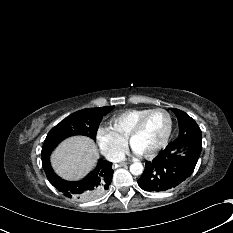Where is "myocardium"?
Masks as SVG:
<instances>
[{
	"label": "myocardium",
	"mask_w": 233,
	"mask_h": 233,
	"mask_svg": "<svg viewBox=\"0 0 233 233\" xmlns=\"http://www.w3.org/2000/svg\"><path fill=\"white\" fill-rule=\"evenodd\" d=\"M156 112H164L168 116L169 125H168L167 132H166L163 140L160 142V144L158 146H156L154 149H152L151 151L144 153V154H140L141 156L146 157V158H150V157H153L154 155H156L160 150H162L167 145V143L170 139V136L172 133V128H173V118H172L171 113L168 110H166L164 108L150 109L142 117L139 118V120L136 122V124L133 126V128L129 132L127 140H126L127 144L131 148H133V146H132L133 139L141 132L143 125H144L145 121L147 120V118Z\"/></svg>",
	"instance_id": "obj_1"
}]
</instances>
